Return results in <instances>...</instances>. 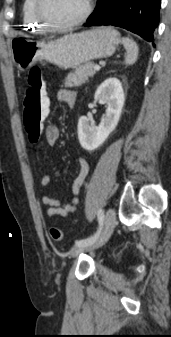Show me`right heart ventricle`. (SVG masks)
<instances>
[{
    "mask_svg": "<svg viewBox=\"0 0 171 337\" xmlns=\"http://www.w3.org/2000/svg\"><path fill=\"white\" fill-rule=\"evenodd\" d=\"M36 0H23L22 21L27 30L45 32L47 28L38 20L36 15Z\"/></svg>",
    "mask_w": 171,
    "mask_h": 337,
    "instance_id": "obj_1",
    "label": "right heart ventricle"
}]
</instances>
